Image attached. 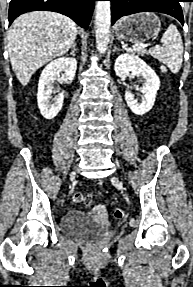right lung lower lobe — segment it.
Listing matches in <instances>:
<instances>
[{
	"label": "right lung lower lobe",
	"instance_id": "obj_1",
	"mask_svg": "<svg viewBox=\"0 0 193 287\" xmlns=\"http://www.w3.org/2000/svg\"><path fill=\"white\" fill-rule=\"evenodd\" d=\"M97 0H11L9 25L19 15L36 10L54 11L64 14L87 29Z\"/></svg>",
	"mask_w": 193,
	"mask_h": 287
}]
</instances>
